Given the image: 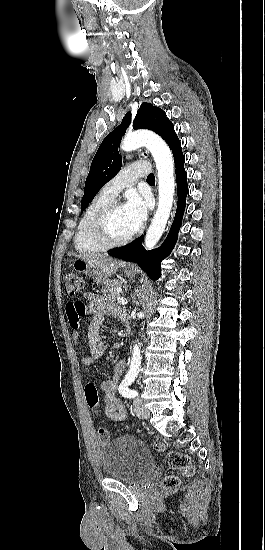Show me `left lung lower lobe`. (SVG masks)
<instances>
[{
	"label": "left lung lower lobe",
	"mask_w": 265,
	"mask_h": 550,
	"mask_svg": "<svg viewBox=\"0 0 265 550\" xmlns=\"http://www.w3.org/2000/svg\"><path fill=\"white\" fill-rule=\"evenodd\" d=\"M171 150L176 167L178 204L171 230L165 242L158 249L146 251L142 246L143 236H141L132 243L121 248H115L109 253L113 257L136 262L153 279H158L160 277V263L171 253L176 243L185 210L186 196L188 194L187 174L184 169V156L181 149V143L177 144Z\"/></svg>",
	"instance_id": "obj_1"
}]
</instances>
